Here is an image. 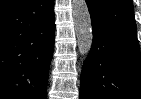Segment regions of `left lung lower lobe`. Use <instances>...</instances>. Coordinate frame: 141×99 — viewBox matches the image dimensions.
Instances as JSON below:
<instances>
[{
	"instance_id": "obj_1",
	"label": "left lung lower lobe",
	"mask_w": 141,
	"mask_h": 99,
	"mask_svg": "<svg viewBox=\"0 0 141 99\" xmlns=\"http://www.w3.org/2000/svg\"><path fill=\"white\" fill-rule=\"evenodd\" d=\"M93 42L80 99H141V63L131 0H86Z\"/></svg>"
}]
</instances>
